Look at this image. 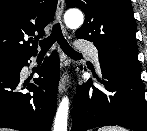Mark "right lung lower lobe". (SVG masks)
Returning a JSON list of instances; mask_svg holds the SVG:
<instances>
[{
    "instance_id": "right-lung-lower-lobe-1",
    "label": "right lung lower lobe",
    "mask_w": 147,
    "mask_h": 131,
    "mask_svg": "<svg viewBox=\"0 0 147 131\" xmlns=\"http://www.w3.org/2000/svg\"><path fill=\"white\" fill-rule=\"evenodd\" d=\"M32 54L17 60L10 68L0 69V127L20 131H50L56 110L59 82V57L54 53L37 69L34 84H21L20 71ZM27 88L34 92H18Z\"/></svg>"
}]
</instances>
